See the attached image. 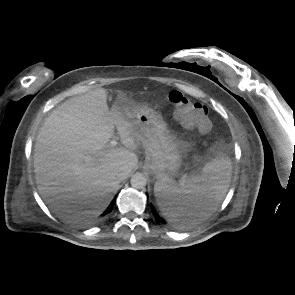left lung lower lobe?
Listing matches in <instances>:
<instances>
[{"label": "left lung lower lobe", "instance_id": "0a47b994", "mask_svg": "<svg viewBox=\"0 0 295 295\" xmlns=\"http://www.w3.org/2000/svg\"><path fill=\"white\" fill-rule=\"evenodd\" d=\"M151 209H152V212L154 213L156 219H157L158 221L162 222V223H165V222L163 221V219L157 214V212H156V210L154 209L153 206H151ZM190 212H191L193 215L201 214L199 211L196 210V208L191 209Z\"/></svg>", "mask_w": 295, "mask_h": 295}]
</instances>
